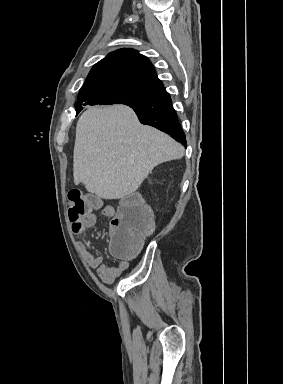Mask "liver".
Segmentation results:
<instances>
[{"label": "liver", "instance_id": "obj_1", "mask_svg": "<svg viewBox=\"0 0 283 384\" xmlns=\"http://www.w3.org/2000/svg\"><path fill=\"white\" fill-rule=\"evenodd\" d=\"M183 156L181 144L142 126L128 106H93L76 126L74 184L82 182L103 200H119L136 192L155 166Z\"/></svg>", "mask_w": 283, "mask_h": 384}]
</instances>
